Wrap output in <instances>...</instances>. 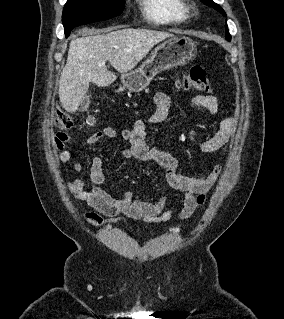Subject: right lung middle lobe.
Returning <instances> with one entry per match:
<instances>
[{
  "label": "right lung middle lobe",
  "instance_id": "dd1d6c3e",
  "mask_svg": "<svg viewBox=\"0 0 284 319\" xmlns=\"http://www.w3.org/2000/svg\"><path fill=\"white\" fill-rule=\"evenodd\" d=\"M123 10L124 0H68L62 15L65 35L74 27L115 17Z\"/></svg>",
  "mask_w": 284,
  "mask_h": 319
}]
</instances>
